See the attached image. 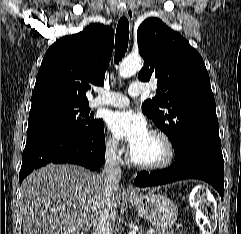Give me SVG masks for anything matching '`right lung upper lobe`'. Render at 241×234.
<instances>
[{"mask_svg": "<svg viewBox=\"0 0 241 234\" xmlns=\"http://www.w3.org/2000/svg\"><path fill=\"white\" fill-rule=\"evenodd\" d=\"M114 46L112 28L100 23L57 40L45 53L32 105L48 101L88 103L91 85H103Z\"/></svg>", "mask_w": 241, "mask_h": 234, "instance_id": "1", "label": "right lung upper lobe"}]
</instances>
